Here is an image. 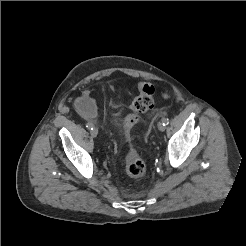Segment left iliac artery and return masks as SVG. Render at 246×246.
Instances as JSON below:
<instances>
[{"label": "left iliac artery", "instance_id": "left-iliac-artery-1", "mask_svg": "<svg viewBox=\"0 0 246 246\" xmlns=\"http://www.w3.org/2000/svg\"><path fill=\"white\" fill-rule=\"evenodd\" d=\"M162 122H163V125L166 126V125L169 124V119L168 118H163Z\"/></svg>", "mask_w": 246, "mask_h": 246}]
</instances>
